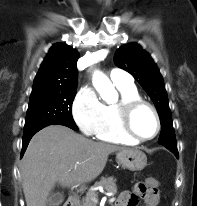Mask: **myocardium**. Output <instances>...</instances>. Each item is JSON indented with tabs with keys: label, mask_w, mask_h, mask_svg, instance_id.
Listing matches in <instances>:
<instances>
[{
	"label": "myocardium",
	"mask_w": 197,
	"mask_h": 206,
	"mask_svg": "<svg viewBox=\"0 0 197 206\" xmlns=\"http://www.w3.org/2000/svg\"><path fill=\"white\" fill-rule=\"evenodd\" d=\"M148 108L154 115L156 121V130L155 133L150 137H141L139 136L132 126V120L135 112L140 108ZM116 114L119 127L121 131L130 139L136 142H146L157 137L161 130V119L158 114L157 109L148 101L142 98H133V99H121L116 105Z\"/></svg>",
	"instance_id": "1"
}]
</instances>
